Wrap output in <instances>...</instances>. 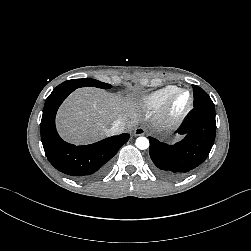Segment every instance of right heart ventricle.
<instances>
[{
	"label": "right heart ventricle",
	"instance_id": "right-heart-ventricle-1",
	"mask_svg": "<svg viewBox=\"0 0 251 251\" xmlns=\"http://www.w3.org/2000/svg\"><path fill=\"white\" fill-rule=\"evenodd\" d=\"M176 89L177 87L172 85L158 89L144 96L140 101V105L147 112L159 110L167 97Z\"/></svg>",
	"mask_w": 251,
	"mask_h": 251
}]
</instances>
